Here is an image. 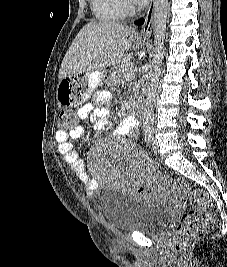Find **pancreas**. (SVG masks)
<instances>
[{"label": "pancreas", "mask_w": 227, "mask_h": 267, "mask_svg": "<svg viewBox=\"0 0 227 267\" xmlns=\"http://www.w3.org/2000/svg\"><path fill=\"white\" fill-rule=\"evenodd\" d=\"M134 73L131 70L127 69H118L111 74L108 79V82L112 85H121L126 83L127 81H131L133 78Z\"/></svg>", "instance_id": "pancreas-1"}]
</instances>
